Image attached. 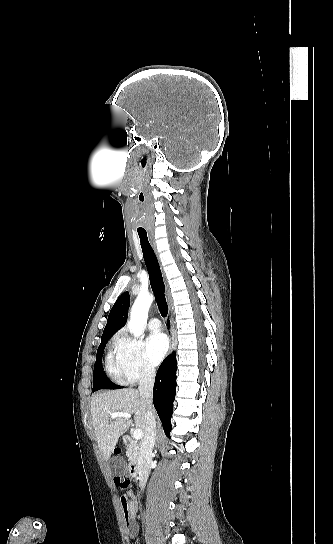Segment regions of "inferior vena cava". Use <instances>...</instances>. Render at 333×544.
<instances>
[{"instance_id": "602c4592", "label": "inferior vena cava", "mask_w": 333, "mask_h": 544, "mask_svg": "<svg viewBox=\"0 0 333 544\" xmlns=\"http://www.w3.org/2000/svg\"><path fill=\"white\" fill-rule=\"evenodd\" d=\"M155 382V370L150 366L143 368L139 380V393L146 400V427L144 439L141 443L140 453L138 458V474L140 488L143 490L147 483L150 466L152 460V451L156 441V418L152 407L153 386Z\"/></svg>"}]
</instances>
